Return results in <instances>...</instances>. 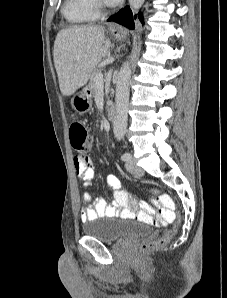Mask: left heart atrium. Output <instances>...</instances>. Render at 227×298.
<instances>
[{"mask_svg":"<svg viewBox=\"0 0 227 298\" xmlns=\"http://www.w3.org/2000/svg\"><path fill=\"white\" fill-rule=\"evenodd\" d=\"M107 5L114 6L121 2V0H104Z\"/></svg>","mask_w":227,"mask_h":298,"instance_id":"1","label":"left heart atrium"}]
</instances>
